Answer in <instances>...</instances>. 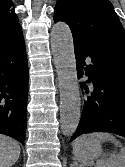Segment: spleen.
<instances>
[{
  "label": "spleen",
  "mask_w": 125,
  "mask_h": 167,
  "mask_svg": "<svg viewBox=\"0 0 125 167\" xmlns=\"http://www.w3.org/2000/svg\"><path fill=\"white\" fill-rule=\"evenodd\" d=\"M110 141L116 147L120 148L119 152L103 154L101 142ZM73 154L75 159L86 167L93 164L96 160L95 167H125V148L112 135L107 133H91L80 136L73 143Z\"/></svg>",
  "instance_id": "3e777b00"
}]
</instances>
